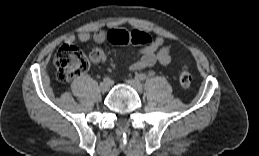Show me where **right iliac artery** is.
I'll use <instances>...</instances> for the list:
<instances>
[{"label": "right iliac artery", "mask_w": 259, "mask_h": 156, "mask_svg": "<svg viewBox=\"0 0 259 156\" xmlns=\"http://www.w3.org/2000/svg\"><path fill=\"white\" fill-rule=\"evenodd\" d=\"M104 80L105 81H110V78L109 77H105Z\"/></svg>", "instance_id": "82829eb1"}]
</instances>
